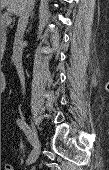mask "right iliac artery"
<instances>
[{"mask_svg":"<svg viewBox=\"0 0 109 170\" xmlns=\"http://www.w3.org/2000/svg\"><path fill=\"white\" fill-rule=\"evenodd\" d=\"M17 125L20 127V129L25 133L27 139L29 140V142L32 144L33 146V143H32V140L30 138V128L29 126L26 124V122L22 119H17Z\"/></svg>","mask_w":109,"mask_h":170,"instance_id":"82829eb1","label":"right iliac artery"}]
</instances>
